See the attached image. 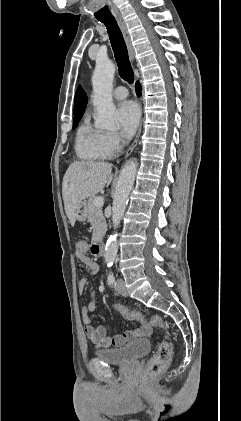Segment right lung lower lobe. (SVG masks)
<instances>
[{"label":"right lung lower lobe","instance_id":"obj_1","mask_svg":"<svg viewBox=\"0 0 241 421\" xmlns=\"http://www.w3.org/2000/svg\"><path fill=\"white\" fill-rule=\"evenodd\" d=\"M136 93H137L138 96L141 95V86H140L139 82L136 83Z\"/></svg>","mask_w":241,"mask_h":421}]
</instances>
